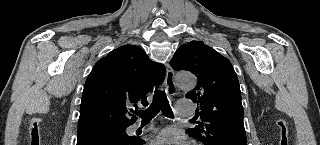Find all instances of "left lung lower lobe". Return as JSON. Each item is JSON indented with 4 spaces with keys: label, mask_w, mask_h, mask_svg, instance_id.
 I'll list each match as a JSON object with an SVG mask.
<instances>
[{
    "label": "left lung lower lobe",
    "mask_w": 320,
    "mask_h": 145,
    "mask_svg": "<svg viewBox=\"0 0 320 145\" xmlns=\"http://www.w3.org/2000/svg\"><path fill=\"white\" fill-rule=\"evenodd\" d=\"M220 145H247L246 141L237 138L225 139Z\"/></svg>",
    "instance_id": "obj_1"
}]
</instances>
